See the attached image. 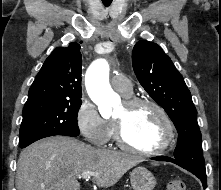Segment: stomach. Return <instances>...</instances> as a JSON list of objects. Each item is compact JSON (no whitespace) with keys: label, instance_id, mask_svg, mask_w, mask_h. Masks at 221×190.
<instances>
[{"label":"stomach","instance_id":"1","mask_svg":"<svg viewBox=\"0 0 221 190\" xmlns=\"http://www.w3.org/2000/svg\"><path fill=\"white\" fill-rule=\"evenodd\" d=\"M133 190H153L156 185L154 175L145 167L139 166L130 173Z\"/></svg>","mask_w":221,"mask_h":190}]
</instances>
